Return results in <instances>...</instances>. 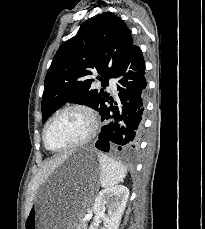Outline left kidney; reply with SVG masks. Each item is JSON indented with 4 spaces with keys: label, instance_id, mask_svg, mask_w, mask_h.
I'll return each instance as SVG.
<instances>
[{
    "label": "left kidney",
    "instance_id": "5707ae66",
    "mask_svg": "<svg viewBox=\"0 0 205 229\" xmlns=\"http://www.w3.org/2000/svg\"><path fill=\"white\" fill-rule=\"evenodd\" d=\"M128 197L129 190L123 185L103 189L95 199V218L102 219L107 229H118ZM96 226V223H92L89 229H97Z\"/></svg>",
    "mask_w": 205,
    "mask_h": 229
}]
</instances>
